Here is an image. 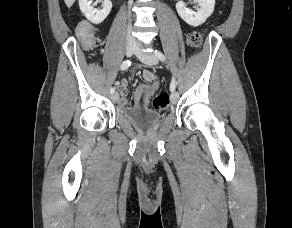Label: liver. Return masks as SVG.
Segmentation results:
<instances>
[{
    "label": "liver",
    "mask_w": 292,
    "mask_h": 228,
    "mask_svg": "<svg viewBox=\"0 0 292 228\" xmlns=\"http://www.w3.org/2000/svg\"><path fill=\"white\" fill-rule=\"evenodd\" d=\"M64 2L67 5V7L70 8L75 2V0H64Z\"/></svg>",
    "instance_id": "obj_1"
}]
</instances>
